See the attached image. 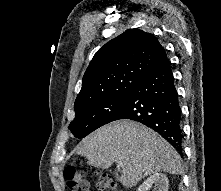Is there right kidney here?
<instances>
[{
    "label": "right kidney",
    "mask_w": 221,
    "mask_h": 191,
    "mask_svg": "<svg viewBox=\"0 0 221 191\" xmlns=\"http://www.w3.org/2000/svg\"><path fill=\"white\" fill-rule=\"evenodd\" d=\"M152 187L154 191H168L169 181L166 175L154 173L139 186L137 191H149Z\"/></svg>",
    "instance_id": "1"
}]
</instances>
